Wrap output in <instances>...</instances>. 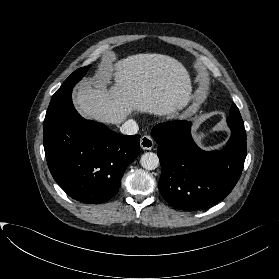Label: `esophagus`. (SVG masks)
Instances as JSON below:
<instances>
[{"instance_id":"obj_1","label":"esophagus","mask_w":279,"mask_h":279,"mask_svg":"<svg viewBox=\"0 0 279 279\" xmlns=\"http://www.w3.org/2000/svg\"><path fill=\"white\" fill-rule=\"evenodd\" d=\"M154 146V141L153 139L148 136V135H144L141 137L140 139V147L144 150H151L152 147Z\"/></svg>"}]
</instances>
